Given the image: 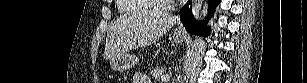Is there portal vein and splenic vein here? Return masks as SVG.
Here are the masks:
<instances>
[{
  "label": "portal vein and splenic vein",
  "mask_w": 307,
  "mask_h": 83,
  "mask_svg": "<svg viewBox=\"0 0 307 83\" xmlns=\"http://www.w3.org/2000/svg\"><path fill=\"white\" fill-rule=\"evenodd\" d=\"M161 79L164 81V82H167L170 80V76H162Z\"/></svg>",
  "instance_id": "18ae733b"
}]
</instances>
